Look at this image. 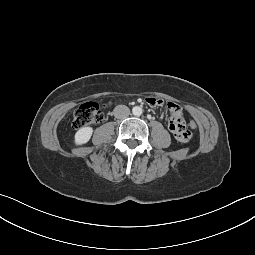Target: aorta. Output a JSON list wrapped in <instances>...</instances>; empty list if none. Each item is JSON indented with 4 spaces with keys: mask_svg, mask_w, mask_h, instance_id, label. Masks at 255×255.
<instances>
[{
    "mask_svg": "<svg viewBox=\"0 0 255 255\" xmlns=\"http://www.w3.org/2000/svg\"><path fill=\"white\" fill-rule=\"evenodd\" d=\"M132 113L135 116H140L142 114V108L140 106H135L132 108Z\"/></svg>",
    "mask_w": 255,
    "mask_h": 255,
    "instance_id": "aorta-1",
    "label": "aorta"
}]
</instances>
